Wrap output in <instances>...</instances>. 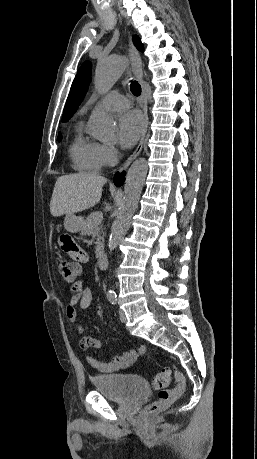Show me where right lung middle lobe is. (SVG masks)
Wrapping results in <instances>:
<instances>
[{
  "label": "right lung middle lobe",
  "instance_id": "1",
  "mask_svg": "<svg viewBox=\"0 0 257 459\" xmlns=\"http://www.w3.org/2000/svg\"><path fill=\"white\" fill-rule=\"evenodd\" d=\"M62 139V135L61 133L58 134V141H60Z\"/></svg>",
  "mask_w": 257,
  "mask_h": 459
}]
</instances>
